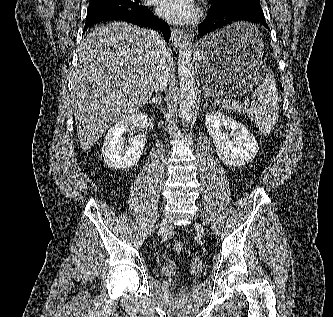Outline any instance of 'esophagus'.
<instances>
[{"label": "esophagus", "mask_w": 333, "mask_h": 317, "mask_svg": "<svg viewBox=\"0 0 333 317\" xmlns=\"http://www.w3.org/2000/svg\"><path fill=\"white\" fill-rule=\"evenodd\" d=\"M183 37V30L180 28H173L171 32V39L175 47H179Z\"/></svg>", "instance_id": "obj_1"}]
</instances>
